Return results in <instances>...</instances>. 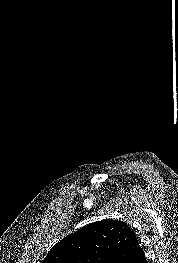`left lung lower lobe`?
Here are the masks:
<instances>
[{"label":"left lung lower lobe","mask_w":178,"mask_h":263,"mask_svg":"<svg viewBox=\"0 0 178 263\" xmlns=\"http://www.w3.org/2000/svg\"><path fill=\"white\" fill-rule=\"evenodd\" d=\"M109 263H147L143 249L132 230L116 256Z\"/></svg>","instance_id":"0a47b994"}]
</instances>
